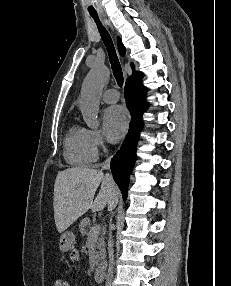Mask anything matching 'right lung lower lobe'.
Here are the masks:
<instances>
[{"mask_svg":"<svg viewBox=\"0 0 231 286\" xmlns=\"http://www.w3.org/2000/svg\"><path fill=\"white\" fill-rule=\"evenodd\" d=\"M142 74L129 78L125 85V99L130 110L132 121L129 133L117 154L111 161V170L118 184L123 199L127 197L129 175L136 160V144L142 128V113L147 108L144 101L146 88L141 84Z\"/></svg>","mask_w":231,"mask_h":286,"instance_id":"98d812e1","label":"right lung lower lobe"}]
</instances>
